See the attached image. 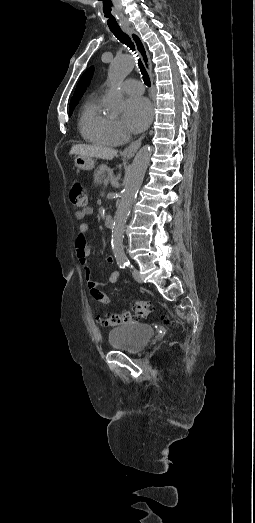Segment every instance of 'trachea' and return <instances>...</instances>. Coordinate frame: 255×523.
Masks as SVG:
<instances>
[{"label":"trachea","mask_w":255,"mask_h":523,"mask_svg":"<svg viewBox=\"0 0 255 523\" xmlns=\"http://www.w3.org/2000/svg\"><path fill=\"white\" fill-rule=\"evenodd\" d=\"M111 32L113 33V35H115V37L121 42L123 43L124 45H126L127 47L130 48V50L132 51H135V46H134V43L132 42L131 38L129 37V35H127V33L123 32V30H121V28H110ZM138 65H139V68L141 70V73L143 75V80H144V83L145 85H147V87H150L151 86V83H150V77L143 65V63L141 62L140 59H138Z\"/></svg>","instance_id":"1"}]
</instances>
